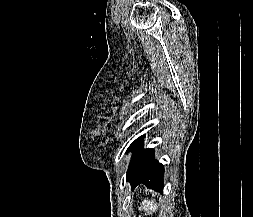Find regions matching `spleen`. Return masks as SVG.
<instances>
[{
	"mask_svg": "<svg viewBox=\"0 0 253 217\" xmlns=\"http://www.w3.org/2000/svg\"><path fill=\"white\" fill-rule=\"evenodd\" d=\"M140 210L144 209L145 211L152 210L155 211L157 209V206L151 202V204H149V202H147V200H144L142 203V206L139 207Z\"/></svg>",
	"mask_w": 253,
	"mask_h": 217,
	"instance_id": "3e777b00",
	"label": "spleen"
}]
</instances>
